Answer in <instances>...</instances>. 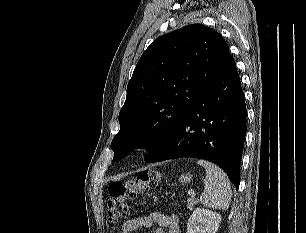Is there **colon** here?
Returning <instances> with one entry per match:
<instances>
[{
  "label": "colon",
  "mask_w": 306,
  "mask_h": 233,
  "mask_svg": "<svg viewBox=\"0 0 306 233\" xmlns=\"http://www.w3.org/2000/svg\"><path fill=\"white\" fill-rule=\"evenodd\" d=\"M160 172L147 170L127 181H114L108 187L107 225L117 228L129 215V203L145 188L155 186L160 179Z\"/></svg>",
  "instance_id": "5ec220e1"
}]
</instances>
